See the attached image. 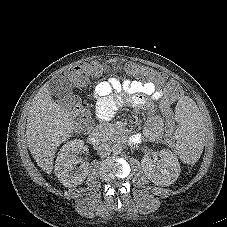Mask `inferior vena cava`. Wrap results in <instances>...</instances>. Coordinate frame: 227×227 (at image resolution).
<instances>
[{"instance_id": "1", "label": "inferior vena cava", "mask_w": 227, "mask_h": 227, "mask_svg": "<svg viewBox=\"0 0 227 227\" xmlns=\"http://www.w3.org/2000/svg\"><path fill=\"white\" fill-rule=\"evenodd\" d=\"M110 153H111L110 145H108L107 143H102V144L99 145L98 154L101 157H106V156L110 155Z\"/></svg>"}]
</instances>
